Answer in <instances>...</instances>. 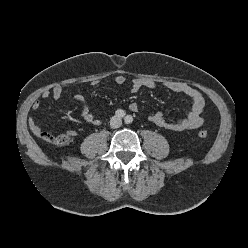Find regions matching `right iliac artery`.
I'll return each mask as SVG.
<instances>
[{
	"mask_svg": "<svg viewBox=\"0 0 248 248\" xmlns=\"http://www.w3.org/2000/svg\"><path fill=\"white\" fill-rule=\"evenodd\" d=\"M115 115L118 117V118H123L125 116V111L122 110V109H118L116 112H115Z\"/></svg>",
	"mask_w": 248,
	"mask_h": 248,
	"instance_id": "82829eb1",
	"label": "right iliac artery"
}]
</instances>
